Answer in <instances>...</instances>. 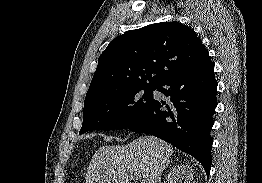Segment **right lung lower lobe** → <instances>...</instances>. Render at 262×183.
I'll list each match as a JSON object with an SVG mask.
<instances>
[{"label":"right lung lower lobe","mask_w":262,"mask_h":183,"mask_svg":"<svg viewBox=\"0 0 262 183\" xmlns=\"http://www.w3.org/2000/svg\"><path fill=\"white\" fill-rule=\"evenodd\" d=\"M214 64L176 74L158 85L168 101L153 100L127 127L161 138L192 155L207 175L212 164V114L217 106Z\"/></svg>","instance_id":"98d812e1"}]
</instances>
